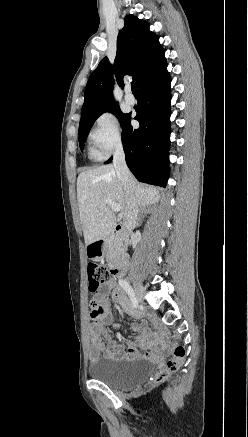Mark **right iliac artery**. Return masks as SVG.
<instances>
[{
  "label": "right iliac artery",
  "instance_id": "right-iliac-artery-1",
  "mask_svg": "<svg viewBox=\"0 0 248 437\" xmlns=\"http://www.w3.org/2000/svg\"><path fill=\"white\" fill-rule=\"evenodd\" d=\"M119 285L128 294V296H129V298H130L134 308H137L138 307V302H137V299L135 297V293H134L132 287L129 285V283L126 280H124V279H120L119 280Z\"/></svg>",
  "mask_w": 248,
  "mask_h": 437
}]
</instances>
